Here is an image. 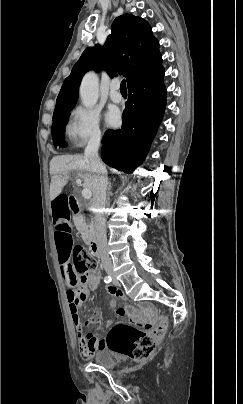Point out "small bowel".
<instances>
[{
  "label": "small bowel",
  "instance_id": "c3829d8e",
  "mask_svg": "<svg viewBox=\"0 0 243 404\" xmlns=\"http://www.w3.org/2000/svg\"><path fill=\"white\" fill-rule=\"evenodd\" d=\"M70 198L59 193L51 201L52 223L54 240L58 252L61 270L67 286V301L72 322L76 328L80 354L84 359L92 357L98 350L106 347V342L93 334L83 332L85 324L81 321L78 309L86 300L89 289L96 288L99 284L100 271L94 269L87 276L78 279L74 273L71 263L72 236L68 219V205ZM111 306L122 296L121 292L113 287L107 288ZM116 313L119 316L126 315L124 307H117Z\"/></svg>",
  "mask_w": 243,
  "mask_h": 404
}]
</instances>
